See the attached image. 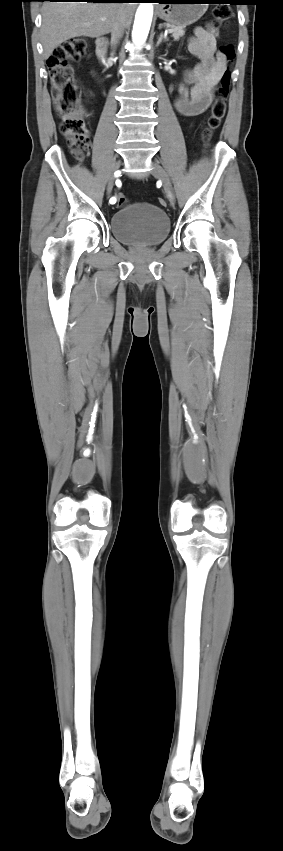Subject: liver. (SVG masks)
Instances as JSON below:
<instances>
[{"mask_svg": "<svg viewBox=\"0 0 283 851\" xmlns=\"http://www.w3.org/2000/svg\"><path fill=\"white\" fill-rule=\"evenodd\" d=\"M136 6L119 2H46L42 9L41 40L48 59L61 43L80 36L99 37L111 32L122 15L129 27ZM102 18H105L102 20Z\"/></svg>", "mask_w": 283, "mask_h": 851, "instance_id": "1", "label": "liver"}]
</instances>
